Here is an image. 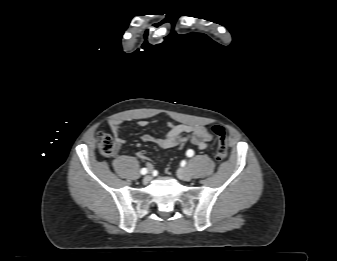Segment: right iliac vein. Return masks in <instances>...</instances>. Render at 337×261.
Segmentation results:
<instances>
[{"instance_id": "obj_1", "label": "right iliac vein", "mask_w": 337, "mask_h": 261, "mask_svg": "<svg viewBox=\"0 0 337 261\" xmlns=\"http://www.w3.org/2000/svg\"><path fill=\"white\" fill-rule=\"evenodd\" d=\"M150 178H151L150 175H147V176L144 178V181H145V182H148V181L150 180Z\"/></svg>"}]
</instances>
